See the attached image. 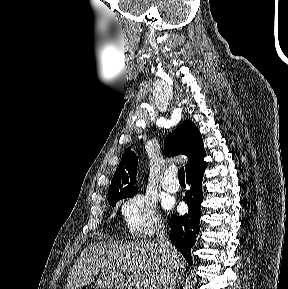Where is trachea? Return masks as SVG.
<instances>
[{
  "instance_id": "obj_1",
  "label": "trachea",
  "mask_w": 288,
  "mask_h": 289,
  "mask_svg": "<svg viewBox=\"0 0 288 289\" xmlns=\"http://www.w3.org/2000/svg\"><path fill=\"white\" fill-rule=\"evenodd\" d=\"M178 178L179 181H185V171H184V167H181L178 171Z\"/></svg>"
}]
</instances>
